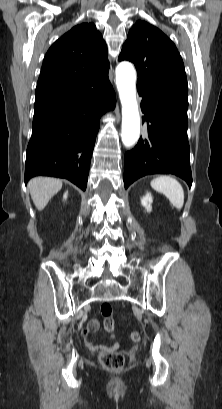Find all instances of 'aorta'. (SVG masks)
Listing matches in <instances>:
<instances>
[{
	"mask_svg": "<svg viewBox=\"0 0 222 409\" xmlns=\"http://www.w3.org/2000/svg\"><path fill=\"white\" fill-rule=\"evenodd\" d=\"M116 85L122 105V142L125 147H132L140 137V115L136 100V72L132 64L121 62L117 66Z\"/></svg>",
	"mask_w": 222,
	"mask_h": 409,
	"instance_id": "aorta-1",
	"label": "aorta"
}]
</instances>
